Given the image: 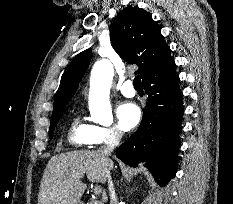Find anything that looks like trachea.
Here are the masks:
<instances>
[{
	"mask_svg": "<svg viewBox=\"0 0 233 204\" xmlns=\"http://www.w3.org/2000/svg\"><path fill=\"white\" fill-rule=\"evenodd\" d=\"M133 85H134L135 89H143L140 75L135 76V78L133 80Z\"/></svg>",
	"mask_w": 233,
	"mask_h": 204,
	"instance_id": "obj_1",
	"label": "trachea"
}]
</instances>
